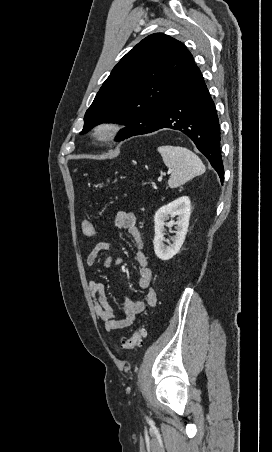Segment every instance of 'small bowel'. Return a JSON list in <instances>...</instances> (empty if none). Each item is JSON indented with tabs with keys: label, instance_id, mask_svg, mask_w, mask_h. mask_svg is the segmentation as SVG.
Here are the masks:
<instances>
[{
	"label": "small bowel",
	"instance_id": "c3829d8e",
	"mask_svg": "<svg viewBox=\"0 0 272 452\" xmlns=\"http://www.w3.org/2000/svg\"><path fill=\"white\" fill-rule=\"evenodd\" d=\"M115 226L118 229L126 231L132 238L136 248V262L139 267L138 286L141 289L148 290L146 300H133L126 298L125 305L121 317H116L111 306L105 298L104 285L96 280L90 279L88 281L89 292L94 300L95 312L99 319L105 325L106 330L113 331L116 329H123L129 327L134 321L135 317L142 313L146 308L155 305L156 293L150 289L152 280V270L149 266L148 258L144 252V241L139 229L136 226V216L129 211H119L115 216ZM111 248V242L103 240L97 242L86 256L85 263L91 267L95 264L99 254L108 251ZM119 260L113 256H108L103 259V265L110 267Z\"/></svg>",
	"mask_w": 272,
	"mask_h": 452
}]
</instances>
